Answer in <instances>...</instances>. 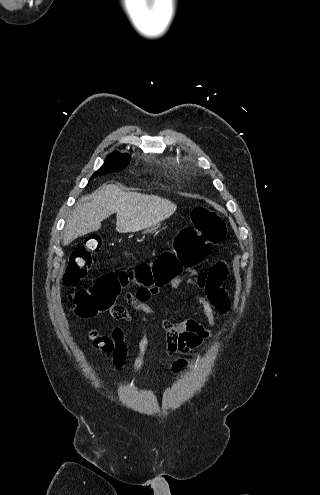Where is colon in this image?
I'll list each match as a JSON object with an SVG mask.
<instances>
[{
    "mask_svg": "<svg viewBox=\"0 0 320 495\" xmlns=\"http://www.w3.org/2000/svg\"><path fill=\"white\" fill-rule=\"evenodd\" d=\"M193 225L179 230L170 250H166L151 264H140L127 272H108L96 283L86 289H80L69 295L77 315L91 318L101 312L118 307L115 299L121 288L134 279L144 287H159L171 281L183 269L194 268L201 264L210 254L212 248L219 245L226 236V228L217 212L205 205L195 207L191 212ZM102 246V239L98 235L88 236L83 243L72 251L63 282L67 287H76L87 275L92 265V258ZM144 292H137V301L148 300ZM94 347L110 352L114 349V342L110 337L91 333ZM116 358L114 357V360Z\"/></svg>",
    "mask_w": 320,
    "mask_h": 495,
    "instance_id": "5ec220e1",
    "label": "colon"
}]
</instances>
